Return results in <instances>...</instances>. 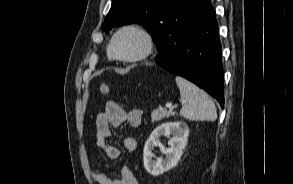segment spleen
Instances as JSON below:
<instances>
[{
  "label": "spleen",
  "mask_w": 293,
  "mask_h": 184,
  "mask_svg": "<svg viewBox=\"0 0 293 184\" xmlns=\"http://www.w3.org/2000/svg\"><path fill=\"white\" fill-rule=\"evenodd\" d=\"M183 104L180 115L191 121H215L217 110L209 95L183 77L175 78Z\"/></svg>",
  "instance_id": "obj_1"
}]
</instances>
